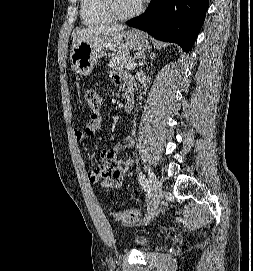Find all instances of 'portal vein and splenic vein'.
Listing matches in <instances>:
<instances>
[{
  "instance_id": "18ae733b",
  "label": "portal vein and splenic vein",
  "mask_w": 253,
  "mask_h": 271,
  "mask_svg": "<svg viewBox=\"0 0 253 271\" xmlns=\"http://www.w3.org/2000/svg\"><path fill=\"white\" fill-rule=\"evenodd\" d=\"M137 66V63L131 62L126 66V69L131 70L134 69Z\"/></svg>"
}]
</instances>
